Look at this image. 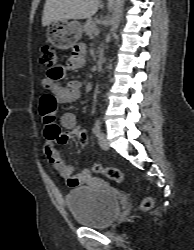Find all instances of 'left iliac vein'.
Returning <instances> with one entry per match:
<instances>
[{
	"instance_id": "4c4485c4",
	"label": "left iliac vein",
	"mask_w": 194,
	"mask_h": 250,
	"mask_svg": "<svg viewBox=\"0 0 194 250\" xmlns=\"http://www.w3.org/2000/svg\"><path fill=\"white\" fill-rule=\"evenodd\" d=\"M99 145L103 150H108L109 149V143L106 139V136L103 132L99 134Z\"/></svg>"
}]
</instances>
